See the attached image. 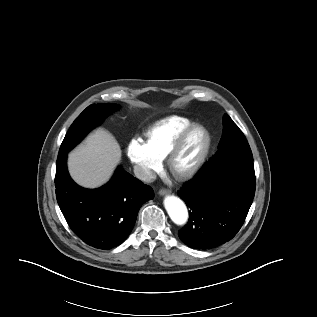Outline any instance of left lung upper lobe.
Returning a JSON list of instances; mask_svg holds the SVG:
<instances>
[{"label": "left lung upper lobe", "mask_w": 317, "mask_h": 317, "mask_svg": "<svg viewBox=\"0 0 317 317\" xmlns=\"http://www.w3.org/2000/svg\"><path fill=\"white\" fill-rule=\"evenodd\" d=\"M240 156L253 160L250 146L238 126L225 114L223 116V134L214 157Z\"/></svg>", "instance_id": "obj_1"}]
</instances>
